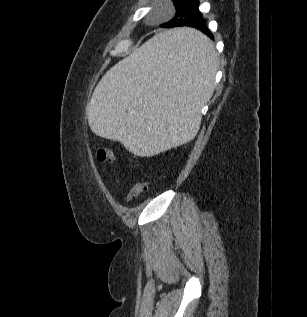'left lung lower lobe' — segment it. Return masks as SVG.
<instances>
[{
    "label": "left lung lower lobe",
    "mask_w": 307,
    "mask_h": 317,
    "mask_svg": "<svg viewBox=\"0 0 307 317\" xmlns=\"http://www.w3.org/2000/svg\"><path fill=\"white\" fill-rule=\"evenodd\" d=\"M161 26L165 28H172V27H168L166 24H163ZM180 26H188V27L196 28L200 30L202 33H204L205 35H207L210 39H214L213 34L207 28L203 15L199 10L193 17L189 18L188 20H183ZM180 26H177V27H180ZM167 46L172 52H175V53L181 50H193V51L201 53L204 56H206L209 53L208 52L209 46L207 44L202 42V40L197 37H192L188 35H181V36L170 38L167 42Z\"/></svg>",
    "instance_id": "0a47b994"
}]
</instances>
